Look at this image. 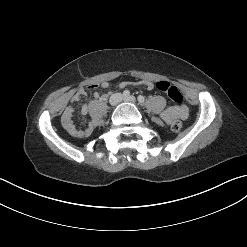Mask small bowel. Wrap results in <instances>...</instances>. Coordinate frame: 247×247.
<instances>
[{
  "mask_svg": "<svg viewBox=\"0 0 247 247\" xmlns=\"http://www.w3.org/2000/svg\"><path fill=\"white\" fill-rule=\"evenodd\" d=\"M132 83L130 82H122L120 84V87H126L128 85H131ZM147 90H152L154 88V84L150 80H143L140 82ZM98 87L102 88H108L109 87V82L103 81L100 84H91L88 88L89 89H96ZM86 92L83 88H79L75 91V93L71 96L70 98V104L65 108L62 117H61V122L65 130L72 136L77 137V138H84L89 136L94 128L93 123H89L84 129H78L73 123L72 117L74 113V108L73 104L77 102L81 97L85 96ZM94 98L99 99L100 94L98 92L94 93ZM89 111V105L84 104L81 107V114L86 115ZM188 116V108L186 105H176L167 108L163 113H162V118L163 120L170 124L172 123L175 119H180L184 120Z\"/></svg>",
  "mask_w": 247,
  "mask_h": 247,
  "instance_id": "small-bowel-1",
  "label": "small bowel"
}]
</instances>
